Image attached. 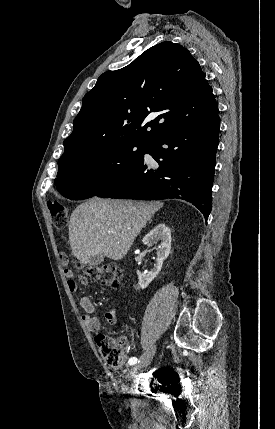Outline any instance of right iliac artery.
Masks as SVG:
<instances>
[{
  "label": "right iliac artery",
  "mask_w": 275,
  "mask_h": 429,
  "mask_svg": "<svg viewBox=\"0 0 275 429\" xmlns=\"http://www.w3.org/2000/svg\"><path fill=\"white\" fill-rule=\"evenodd\" d=\"M138 359L136 357H131L128 361V363L130 365H134L135 363H137Z\"/></svg>",
  "instance_id": "obj_1"
}]
</instances>
